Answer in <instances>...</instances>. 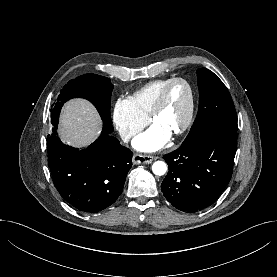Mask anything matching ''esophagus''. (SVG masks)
<instances>
[{
    "mask_svg": "<svg viewBox=\"0 0 277 277\" xmlns=\"http://www.w3.org/2000/svg\"><path fill=\"white\" fill-rule=\"evenodd\" d=\"M154 160V157L151 155H142V154H134L133 155V163L134 164H150Z\"/></svg>",
    "mask_w": 277,
    "mask_h": 277,
    "instance_id": "34e87169",
    "label": "esophagus"
}]
</instances>
